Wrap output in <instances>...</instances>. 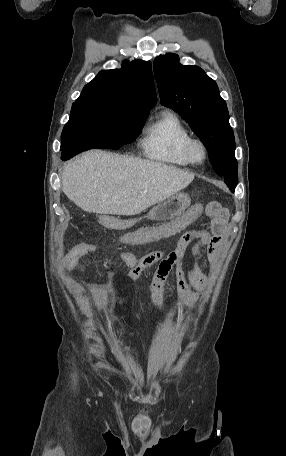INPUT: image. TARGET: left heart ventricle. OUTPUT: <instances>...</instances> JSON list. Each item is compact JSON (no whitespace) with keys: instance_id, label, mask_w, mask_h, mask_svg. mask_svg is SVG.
Segmentation results:
<instances>
[{"instance_id":"obj_1","label":"left heart ventricle","mask_w":286,"mask_h":456,"mask_svg":"<svg viewBox=\"0 0 286 456\" xmlns=\"http://www.w3.org/2000/svg\"><path fill=\"white\" fill-rule=\"evenodd\" d=\"M193 156L196 160L202 159L203 153H202V150L200 149V147H195V149L193 151Z\"/></svg>"}]
</instances>
